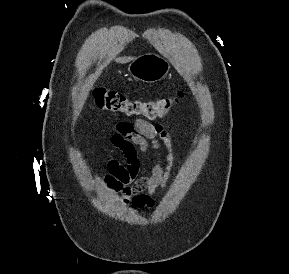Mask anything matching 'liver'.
I'll list each match as a JSON object with an SVG mask.
<instances>
[{"mask_svg":"<svg viewBox=\"0 0 289 274\" xmlns=\"http://www.w3.org/2000/svg\"><path fill=\"white\" fill-rule=\"evenodd\" d=\"M133 59H134L133 57H119L116 59V61L118 63L124 64V63L130 62Z\"/></svg>","mask_w":289,"mask_h":274,"instance_id":"6515ba94","label":"liver"}]
</instances>
